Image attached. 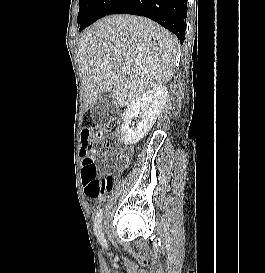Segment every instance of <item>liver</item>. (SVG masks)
I'll return each instance as SVG.
<instances>
[{
	"mask_svg": "<svg viewBox=\"0 0 265 273\" xmlns=\"http://www.w3.org/2000/svg\"><path fill=\"white\" fill-rule=\"evenodd\" d=\"M179 50L178 39L148 18L120 14L99 20L78 43L85 108H92L105 91L112 92L115 106L123 107L167 83Z\"/></svg>",
	"mask_w": 265,
	"mask_h": 273,
	"instance_id": "6515ba94",
	"label": "liver"
}]
</instances>
